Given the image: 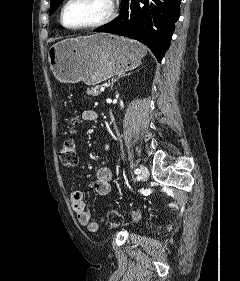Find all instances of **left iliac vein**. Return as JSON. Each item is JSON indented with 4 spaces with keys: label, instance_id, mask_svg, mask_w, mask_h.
Segmentation results:
<instances>
[{
    "label": "left iliac vein",
    "instance_id": "obj_1",
    "mask_svg": "<svg viewBox=\"0 0 240 281\" xmlns=\"http://www.w3.org/2000/svg\"><path fill=\"white\" fill-rule=\"evenodd\" d=\"M140 171H141V179L147 180L149 177V171L147 167H145L144 165H140Z\"/></svg>",
    "mask_w": 240,
    "mask_h": 281
}]
</instances>
